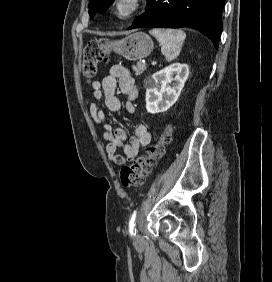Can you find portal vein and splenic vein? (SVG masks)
I'll list each match as a JSON object with an SVG mask.
<instances>
[{
  "label": "portal vein and splenic vein",
  "instance_id": "portal-vein-and-splenic-vein-1",
  "mask_svg": "<svg viewBox=\"0 0 272 282\" xmlns=\"http://www.w3.org/2000/svg\"><path fill=\"white\" fill-rule=\"evenodd\" d=\"M157 64V62L156 61H152V65H156Z\"/></svg>",
  "mask_w": 272,
  "mask_h": 282
}]
</instances>
